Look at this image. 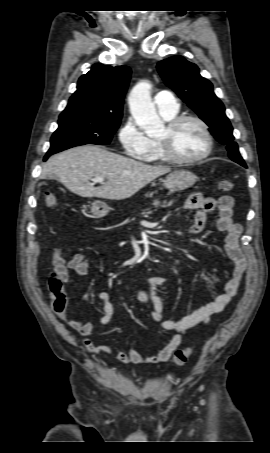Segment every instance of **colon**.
Listing matches in <instances>:
<instances>
[{
    "mask_svg": "<svg viewBox=\"0 0 270 453\" xmlns=\"http://www.w3.org/2000/svg\"><path fill=\"white\" fill-rule=\"evenodd\" d=\"M234 189V183L229 180L219 182V190L222 192H230ZM45 203L48 207H58L59 201L52 193L45 194ZM50 291L51 306L58 314H63L68 309V295L64 289V284L57 272L53 271L48 281ZM192 355V348H184L176 351L173 355L172 362L175 365H183Z\"/></svg>",
    "mask_w": 270,
    "mask_h": 453,
    "instance_id": "colon-1",
    "label": "colon"
}]
</instances>
